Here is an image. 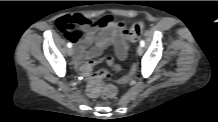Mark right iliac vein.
Masks as SVG:
<instances>
[{
  "label": "right iliac vein",
  "instance_id": "1",
  "mask_svg": "<svg viewBox=\"0 0 218 122\" xmlns=\"http://www.w3.org/2000/svg\"><path fill=\"white\" fill-rule=\"evenodd\" d=\"M73 53H74V49H73V48H69L68 51H67V54H68L69 56H72Z\"/></svg>",
  "mask_w": 218,
  "mask_h": 122
}]
</instances>
